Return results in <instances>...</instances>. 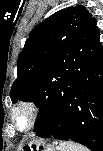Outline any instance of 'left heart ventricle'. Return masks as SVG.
Instances as JSON below:
<instances>
[{
	"label": "left heart ventricle",
	"instance_id": "1",
	"mask_svg": "<svg viewBox=\"0 0 103 151\" xmlns=\"http://www.w3.org/2000/svg\"><path fill=\"white\" fill-rule=\"evenodd\" d=\"M27 117L24 114H19L16 116L17 126L20 128H24L27 125Z\"/></svg>",
	"mask_w": 103,
	"mask_h": 151
}]
</instances>
